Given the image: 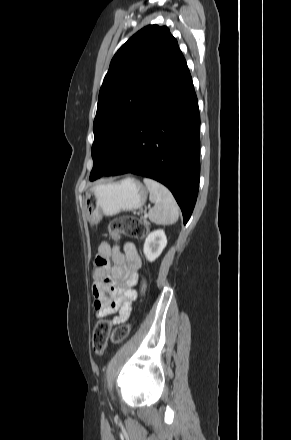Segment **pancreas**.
<instances>
[{"instance_id":"1","label":"pancreas","mask_w":291,"mask_h":440,"mask_svg":"<svg viewBox=\"0 0 291 440\" xmlns=\"http://www.w3.org/2000/svg\"><path fill=\"white\" fill-rule=\"evenodd\" d=\"M141 222H142L145 226H149V225H150V223H149L146 219L141 220Z\"/></svg>"}]
</instances>
